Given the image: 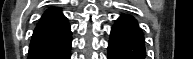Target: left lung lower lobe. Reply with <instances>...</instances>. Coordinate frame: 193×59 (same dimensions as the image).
<instances>
[{"mask_svg": "<svg viewBox=\"0 0 193 59\" xmlns=\"http://www.w3.org/2000/svg\"><path fill=\"white\" fill-rule=\"evenodd\" d=\"M144 35L130 15L114 24L108 45V59H145Z\"/></svg>", "mask_w": 193, "mask_h": 59, "instance_id": "1", "label": "left lung lower lobe"}]
</instances>
